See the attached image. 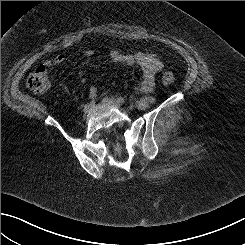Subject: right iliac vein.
Here are the masks:
<instances>
[{
  "mask_svg": "<svg viewBox=\"0 0 245 245\" xmlns=\"http://www.w3.org/2000/svg\"><path fill=\"white\" fill-rule=\"evenodd\" d=\"M91 108H92L91 104H86L83 108V112L87 114L88 112H90Z\"/></svg>",
  "mask_w": 245,
  "mask_h": 245,
  "instance_id": "1",
  "label": "right iliac vein"
}]
</instances>
